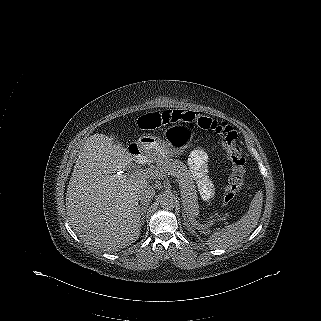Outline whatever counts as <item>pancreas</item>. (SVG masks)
<instances>
[{
	"mask_svg": "<svg viewBox=\"0 0 321 321\" xmlns=\"http://www.w3.org/2000/svg\"><path fill=\"white\" fill-rule=\"evenodd\" d=\"M157 171L163 175H170L177 178L181 188V195L184 199V207L191 217L199 213V205L194 182L186 165L177 159H166L158 163Z\"/></svg>",
	"mask_w": 321,
	"mask_h": 321,
	"instance_id": "1",
	"label": "pancreas"
}]
</instances>
